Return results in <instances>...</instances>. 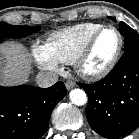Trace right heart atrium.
Listing matches in <instances>:
<instances>
[{
	"label": "right heart atrium",
	"mask_w": 139,
	"mask_h": 139,
	"mask_svg": "<svg viewBox=\"0 0 139 139\" xmlns=\"http://www.w3.org/2000/svg\"><path fill=\"white\" fill-rule=\"evenodd\" d=\"M33 57L37 64L46 70L56 71L59 69L58 62L46 49L45 45L35 44L32 49Z\"/></svg>",
	"instance_id": "right-heart-atrium-1"
}]
</instances>
